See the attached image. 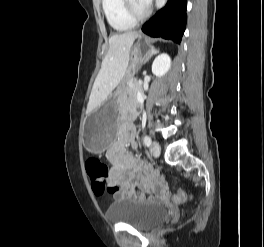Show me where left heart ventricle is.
I'll use <instances>...</instances> for the list:
<instances>
[{"instance_id":"b2bd125f","label":"left heart ventricle","mask_w":264,"mask_h":247,"mask_svg":"<svg viewBox=\"0 0 264 247\" xmlns=\"http://www.w3.org/2000/svg\"><path fill=\"white\" fill-rule=\"evenodd\" d=\"M133 1V5L136 9L137 12H142L146 9V6L142 5L139 0H132Z\"/></svg>"}]
</instances>
